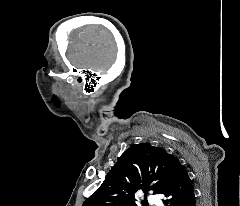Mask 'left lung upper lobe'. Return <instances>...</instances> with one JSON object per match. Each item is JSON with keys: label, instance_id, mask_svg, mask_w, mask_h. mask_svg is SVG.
<instances>
[{"label": "left lung upper lobe", "instance_id": "5c2ea615", "mask_svg": "<svg viewBox=\"0 0 240 206\" xmlns=\"http://www.w3.org/2000/svg\"><path fill=\"white\" fill-rule=\"evenodd\" d=\"M178 160L149 143L133 144L119 158L97 191L82 206H137L135 192L168 189Z\"/></svg>", "mask_w": 240, "mask_h": 206}]
</instances>
